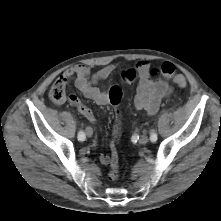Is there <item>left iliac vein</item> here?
Returning <instances> with one entry per match:
<instances>
[{
	"instance_id": "left-iliac-vein-1",
	"label": "left iliac vein",
	"mask_w": 221,
	"mask_h": 221,
	"mask_svg": "<svg viewBox=\"0 0 221 221\" xmlns=\"http://www.w3.org/2000/svg\"><path fill=\"white\" fill-rule=\"evenodd\" d=\"M148 141H149V138L146 135H142L139 139L140 144H146V143H148Z\"/></svg>"
}]
</instances>
